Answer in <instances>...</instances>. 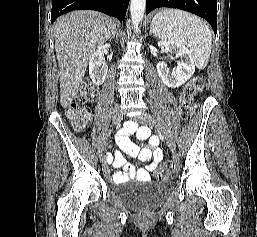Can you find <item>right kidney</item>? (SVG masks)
Instances as JSON below:
<instances>
[{
    "instance_id": "1",
    "label": "right kidney",
    "mask_w": 257,
    "mask_h": 237,
    "mask_svg": "<svg viewBox=\"0 0 257 237\" xmlns=\"http://www.w3.org/2000/svg\"><path fill=\"white\" fill-rule=\"evenodd\" d=\"M110 47V44L99 46L89 59V75L95 85H101L105 81L108 67L103 62V54Z\"/></svg>"
}]
</instances>
